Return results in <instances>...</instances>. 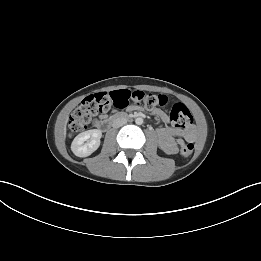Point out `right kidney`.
I'll list each match as a JSON object with an SVG mask.
<instances>
[{"label": "right kidney", "mask_w": 261, "mask_h": 261, "mask_svg": "<svg viewBox=\"0 0 261 261\" xmlns=\"http://www.w3.org/2000/svg\"><path fill=\"white\" fill-rule=\"evenodd\" d=\"M101 137L102 132L98 129L82 132L74 138L71 150L78 157H87L98 149Z\"/></svg>", "instance_id": "right-kidney-1"}]
</instances>
